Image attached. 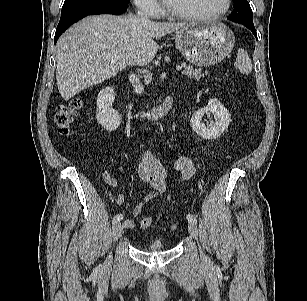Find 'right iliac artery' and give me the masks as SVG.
<instances>
[{
    "mask_svg": "<svg viewBox=\"0 0 307 301\" xmlns=\"http://www.w3.org/2000/svg\"><path fill=\"white\" fill-rule=\"evenodd\" d=\"M123 219V215L122 214H117L114 216L112 223L115 224L117 222H120Z\"/></svg>",
    "mask_w": 307,
    "mask_h": 301,
    "instance_id": "obj_1",
    "label": "right iliac artery"
}]
</instances>
